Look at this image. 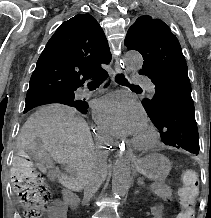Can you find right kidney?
I'll use <instances>...</instances> for the list:
<instances>
[{"label":"right kidney","mask_w":211,"mask_h":218,"mask_svg":"<svg viewBox=\"0 0 211 218\" xmlns=\"http://www.w3.org/2000/svg\"><path fill=\"white\" fill-rule=\"evenodd\" d=\"M48 217L66 218V206H59V201H53V206H48Z\"/></svg>","instance_id":"1"}]
</instances>
